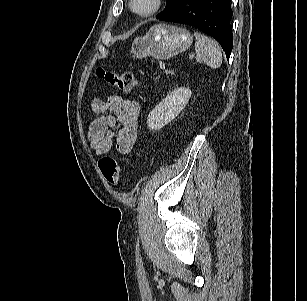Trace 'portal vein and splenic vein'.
Instances as JSON below:
<instances>
[{
    "label": "portal vein and splenic vein",
    "mask_w": 307,
    "mask_h": 301,
    "mask_svg": "<svg viewBox=\"0 0 307 301\" xmlns=\"http://www.w3.org/2000/svg\"><path fill=\"white\" fill-rule=\"evenodd\" d=\"M165 73H166V74H168V73H170V71H168V70H165Z\"/></svg>",
    "instance_id": "obj_1"
}]
</instances>
